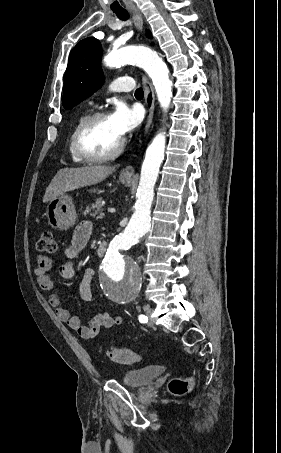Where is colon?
Instances as JSON below:
<instances>
[{
	"instance_id": "5ec220e1",
	"label": "colon",
	"mask_w": 281,
	"mask_h": 453,
	"mask_svg": "<svg viewBox=\"0 0 281 453\" xmlns=\"http://www.w3.org/2000/svg\"><path fill=\"white\" fill-rule=\"evenodd\" d=\"M38 251L44 250L45 255H58L59 248L55 243V232L53 230H45L41 239L38 241ZM108 360L112 363H139L144 360L142 354L130 349L112 348L108 350ZM189 387V379L187 377L175 378L170 390L175 395H183Z\"/></svg>"
}]
</instances>
